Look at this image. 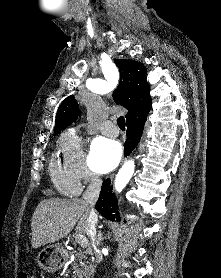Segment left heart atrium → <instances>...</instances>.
Returning <instances> with one entry per match:
<instances>
[{"label": "left heart atrium", "mask_w": 221, "mask_h": 278, "mask_svg": "<svg viewBox=\"0 0 221 278\" xmlns=\"http://www.w3.org/2000/svg\"><path fill=\"white\" fill-rule=\"evenodd\" d=\"M122 156L121 144L112 139L98 137L90 148V163L92 168L99 173L113 170Z\"/></svg>", "instance_id": "1"}]
</instances>
